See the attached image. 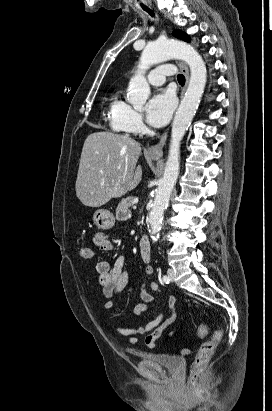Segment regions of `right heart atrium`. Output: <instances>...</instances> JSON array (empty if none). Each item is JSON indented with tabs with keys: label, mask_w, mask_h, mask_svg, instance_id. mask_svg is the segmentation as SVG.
Here are the masks:
<instances>
[{
	"label": "right heart atrium",
	"mask_w": 272,
	"mask_h": 411,
	"mask_svg": "<svg viewBox=\"0 0 272 411\" xmlns=\"http://www.w3.org/2000/svg\"><path fill=\"white\" fill-rule=\"evenodd\" d=\"M124 122L127 130L132 133H138L144 128L142 115L129 105L124 112Z\"/></svg>",
	"instance_id": "1"
}]
</instances>
